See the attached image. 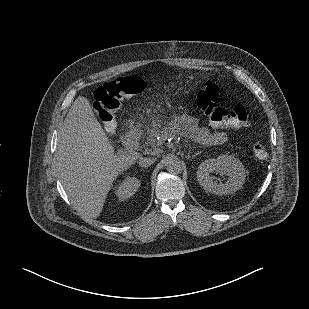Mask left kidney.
Wrapping results in <instances>:
<instances>
[{
  "label": "left kidney",
  "mask_w": 309,
  "mask_h": 309,
  "mask_svg": "<svg viewBox=\"0 0 309 309\" xmlns=\"http://www.w3.org/2000/svg\"><path fill=\"white\" fill-rule=\"evenodd\" d=\"M197 181L207 192L216 195H229L241 189L245 183V168L242 162L230 155L221 154L217 158L202 162L197 170ZM227 176L226 181H214L213 174Z\"/></svg>",
  "instance_id": "left-kidney-1"
}]
</instances>
